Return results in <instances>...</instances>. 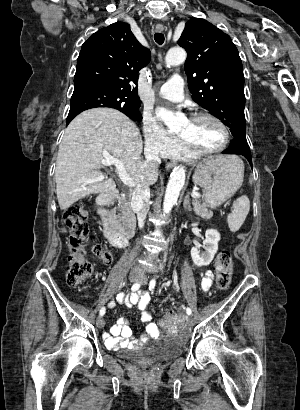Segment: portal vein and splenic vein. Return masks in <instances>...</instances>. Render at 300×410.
Returning a JSON list of instances; mask_svg holds the SVG:
<instances>
[{
	"label": "portal vein and splenic vein",
	"mask_w": 300,
	"mask_h": 410,
	"mask_svg": "<svg viewBox=\"0 0 300 410\" xmlns=\"http://www.w3.org/2000/svg\"><path fill=\"white\" fill-rule=\"evenodd\" d=\"M103 156H104V159L102 160V164L103 165H115L117 170H118L119 178H120V180L122 181L123 184H125L128 187H134L135 186V182L126 173L125 168L123 167V164H122L121 161H119L118 159L112 157L107 152H103ZM191 196L193 198H200L201 197L200 193H198L194 190L192 191Z\"/></svg>",
	"instance_id": "obj_1"
}]
</instances>
